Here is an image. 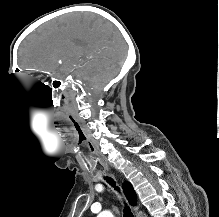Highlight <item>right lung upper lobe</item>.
<instances>
[{
	"instance_id": "obj_1",
	"label": "right lung upper lobe",
	"mask_w": 219,
	"mask_h": 217,
	"mask_svg": "<svg viewBox=\"0 0 219 217\" xmlns=\"http://www.w3.org/2000/svg\"><path fill=\"white\" fill-rule=\"evenodd\" d=\"M122 187H123L124 193L129 201L130 205L135 206L137 196H136V193H135L132 185L129 182H125V183H123Z\"/></svg>"
}]
</instances>
